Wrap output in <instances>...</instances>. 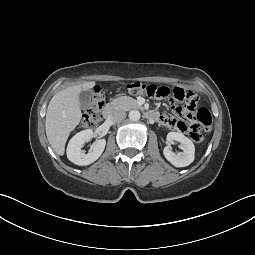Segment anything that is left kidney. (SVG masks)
Here are the masks:
<instances>
[{"mask_svg": "<svg viewBox=\"0 0 255 255\" xmlns=\"http://www.w3.org/2000/svg\"><path fill=\"white\" fill-rule=\"evenodd\" d=\"M175 140L181 144L182 152L174 153L170 148V143ZM167 143L163 150L165 158L175 167H185L190 165L195 158V146L193 142L182 133L169 132L167 135Z\"/></svg>", "mask_w": 255, "mask_h": 255, "instance_id": "5707ae66", "label": "left kidney"}]
</instances>
